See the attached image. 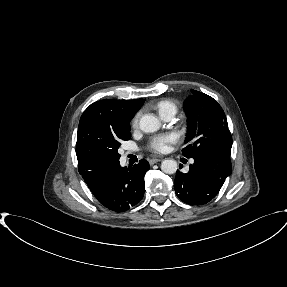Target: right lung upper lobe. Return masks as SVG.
Returning <instances> with one entry per match:
<instances>
[{"label": "right lung upper lobe", "instance_id": "right-lung-upper-lobe-1", "mask_svg": "<svg viewBox=\"0 0 287 287\" xmlns=\"http://www.w3.org/2000/svg\"><path fill=\"white\" fill-rule=\"evenodd\" d=\"M144 99L100 100L82 114L76 143L79 173L87 185L105 165L112 143L130 134L129 122Z\"/></svg>", "mask_w": 287, "mask_h": 287}]
</instances>
